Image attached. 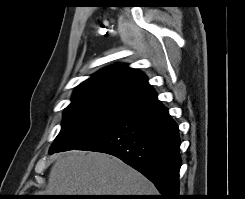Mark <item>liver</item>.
<instances>
[{"label": "liver", "instance_id": "obj_1", "mask_svg": "<svg viewBox=\"0 0 245 199\" xmlns=\"http://www.w3.org/2000/svg\"><path fill=\"white\" fill-rule=\"evenodd\" d=\"M45 195H156L155 186L120 159L72 150L57 156Z\"/></svg>", "mask_w": 245, "mask_h": 199}]
</instances>
